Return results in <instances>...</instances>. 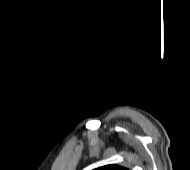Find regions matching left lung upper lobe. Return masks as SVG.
Returning a JSON list of instances; mask_svg holds the SVG:
<instances>
[{"label": "left lung upper lobe", "mask_w": 190, "mask_h": 170, "mask_svg": "<svg viewBox=\"0 0 190 170\" xmlns=\"http://www.w3.org/2000/svg\"><path fill=\"white\" fill-rule=\"evenodd\" d=\"M95 170H129V169L119 165L112 164L96 168Z\"/></svg>", "instance_id": "1"}]
</instances>
